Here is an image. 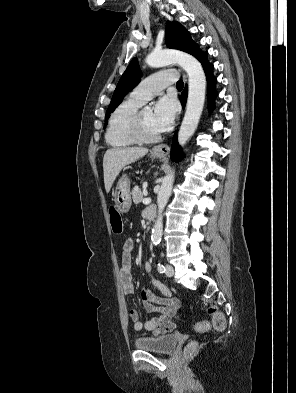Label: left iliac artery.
<instances>
[{
	"label": "left iliac artery",
	"mask_w": 296,
	"mask_h": 393,
	"mask_svg": "<svg viewBox=\"0 0 296 393\" xmlns=\"http://www.w3.org/2000/svg\"><path fill=\"white\" fill-rule=\"evenodd\" d=\"M157 270H158L160 273H164V272H165V267H164V265H163L162 263H158V265H157Z\"/></svg>",
	"instance_id": "44dca946"
}]
</instances>
